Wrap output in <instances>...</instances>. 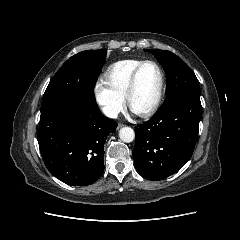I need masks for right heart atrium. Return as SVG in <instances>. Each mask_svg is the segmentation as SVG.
I'll return each instance as SVG.
<instances>
[{
    "label": "right heart atrium",
    "instance_id": "obj_1",
    "mask_svg": "<svg viewBox=\"0 0 240 240\" xmlns=\"http://www.w3.org/2000/svg\"><path fill=\"white\" fill-rule=\"evenodd\" d=\"M93 94L96 103L109 118H116L124 108V98L114 92L104 81L96 82Z\"/></svg>",
    "mask_w": 240,
    "mask_h": 240
}]
</instances>
